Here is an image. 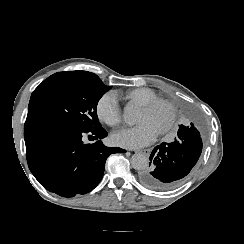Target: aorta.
<instances>
[{"label": "aorta", "instance_id": "obj_1", "mask_svg": "<svg viewBox=\"0 0 244 244\" xmlns=\"http://www.w3.org/2000/svg\"><path fill=\"white\" fill-rule=\"evenodd\" d=\"M125 123L131 125L134 123L135 114L131 106H126L123 112ZM131 166L136 170H144L148 166V158L142 153H136L131 157Z\"/></svg>", "mask_w": 244, "mask_h": 244}]
</instances>
